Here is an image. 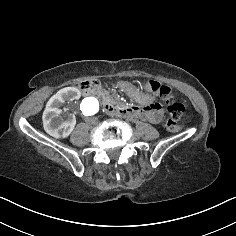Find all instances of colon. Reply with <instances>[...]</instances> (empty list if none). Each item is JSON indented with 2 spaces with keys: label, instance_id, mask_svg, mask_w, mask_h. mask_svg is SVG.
I'll return each mask as SVG.
<instances>
[{
  "label": "colon",
  "instance_id": "5ec220e1",
  "mask_svg": "<svg viewBox=\"0 0 236 236\" xmlns=\"http://www.w3.org/2000/svg\"><path fill=\"white\" fill-rule=\"evenodd\" d=\"M99 83L96 80L93 81H83L78 83V87L80 89L90 88L93 86H97ZM143 88L147 91H150L159 97H161L167 104V110L169 113V119L166 122V128L169 131H178L179 124L178 121L183 116L185 107L184 104L179 101L173 94L172 90L155 80H149L142 84Z\"/></svg>",
  "mask_w": 236,
  "mask_h": 236
}]
</instances>
